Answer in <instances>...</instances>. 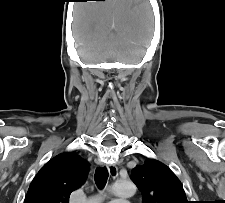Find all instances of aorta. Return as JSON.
<instances>
[{
	"label": "aorta",
	"mask_w": 225,
	"mask_h": 203,
	"mask_svg": "<svg viewBox=\"0 0 225 203\" xmlns=\"http://www.w3.org/2000/svg\"><path fill=\"white\" fill-rule=\"evenodd\" d=\"M110 191L114 195L124 198L132 196L136 191V187L130 180L117 181L111 186ZM89 203H100V197H93L92 199H90Z\"/></svg>",
	"instance_id": "1"
}]
</instances>
